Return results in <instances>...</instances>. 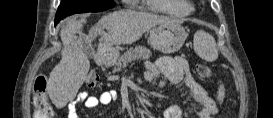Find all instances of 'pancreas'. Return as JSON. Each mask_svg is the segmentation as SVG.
<instances>
[{"label": "pancreas", "mask_w": 273, "mask_h": 118, "mask_svg": "<svg viewBox=\"0 0 273 118\" xmlns=\"http://www.w3.org/2000/svg\"><path fill=\"white\" fill-rule=\"evenodd\" d=\"M150 56L151 51L144 46H135V48H130L117 60L113 72L121 71L122 68H125L129 63L136 59H148Z\"/></svg>", "instance_id": "1"}]
</instances>
